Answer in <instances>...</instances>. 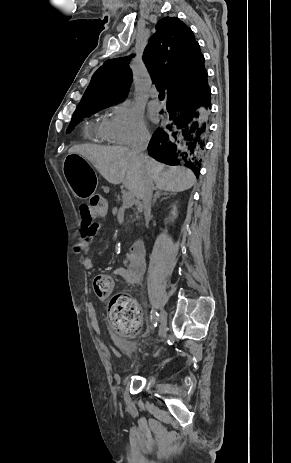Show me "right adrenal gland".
<instances>
[{
  "mask_svg": "<svg viewBox=\"0 0 291 463\" xmlns=\"http://www.w3.org/2000/svg\"><path fill=\"white\" fill-rule=\"evenodd\" d=\"M167 195H174V193L162 192L161 190L156 189V192H155V194L153 196V200H152V206L155 205L158 198H160L161 196H167Z\"/></svg>",
  "mask_w": 291,
  "mask_h": 463,
  "instance_id": "obj_1",
  "label": "right adrenal gland"
}]
</instances>
